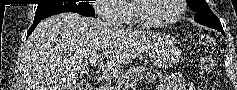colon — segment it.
<instances>
[{"mask_svg":"<svg viewBox=\"0 0 237 90\" xmlns=\"http://www.w3.org/2000/svg\"><path fill=\"white\" fill-rule=\"evenodd\" d=\"M204 42H205V44H206L207 46H209V47H213V46L216 45V43H215L214 40H212V39H210V38H207V37L204 39Z\"/></svg>","mask_w":237,"mask_h":90,"instance_id":"5ec220e1","label":"colon"}]
</instances>
